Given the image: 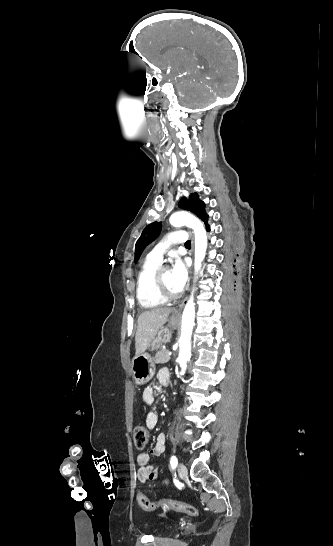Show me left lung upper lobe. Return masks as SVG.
Listing matches in <instances>:
<instances>
[{"label":"left lung upper lobe","instance_id":"obj_1","mask_svg":"<svg viewBox=\"0 0 333 546\" xmlns=\"http://www.w3.org/2000/svg\"><path fill=\"white\" fill-rule=\"evenodd\" d=\"M179 206L196 214L202 221H206L208 215L205 213V205L199 200L197 193H192L187 200L185 197L179 202ZM161 222L149 224L142 232L135 245V262L139 259L144 248L151 243L161 231Z\"/></svg>","mask_w":333,"mask_h":546}]
</instances>
